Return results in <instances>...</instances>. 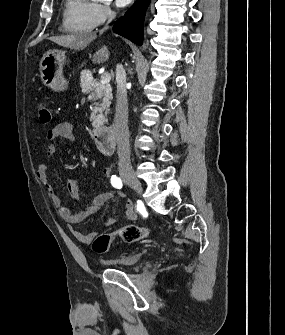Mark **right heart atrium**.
I'll return each mask as SVG.
<instances>
[{
	"instance_id": "d8ad5b80",
	"label": "right heart atrium",
	"mask_w": 285,
	"mask_h": 335,
	"mask_svg": "<svg viewBox=\"0 0 285 335\" xmlns=\"http://www.w3.org/2000/svg\"><path fill=\"white\" fill-rule=\"evenodd\" d=\"M91 19L95 26H101L107 21L112 20L116 11L110 1H95L90 8Z\"/></svg>"
}]
</instances>
